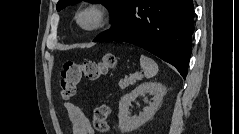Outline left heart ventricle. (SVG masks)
<instances>
[{"label":"left heart ventricle","instance_id":"b2bd125f","mask_svg":"<svg viewBox=\"0 0 239 134\" xmlns=\"http://www.w3.org/2000/svg\"><path fill=\"white\" fill-rule=\"evenodd\" d=\"M90 20H91L90 16H87V17L85 18V21H86V22H89Z\"/></svg>","mask_w":239,"mask_h":134}]
</instances>
